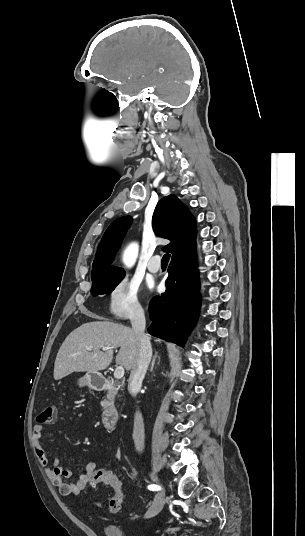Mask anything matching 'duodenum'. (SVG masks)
<instances>
[{
    "mask_svg": "<svg viewBox=\"0 0 305 536\" xmlns=\"http://www.w3.org/2000/svg\"><path fill=\"white\" fill-rule=\"evenodd\" d=\"M91 386L98 391L108 392V396L104 402L101 419L102 424L106 429L110 430L115 428L119 420L118 413L113 405L114 398L118 393L115 383L100 376H93L91 379Z\"/></svg>",
    "mask_w": 305,
    "mask_h": 536,
    "instance_id": "410a0bca",
    "label": "duodenum"
}]
</instances>
